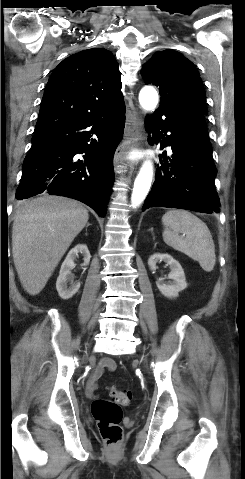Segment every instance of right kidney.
Masks as SVG:
<instances>
[{
    "instance_id": "1",
    "label": "right kidney",
    "mask_w": 245,
    "mask_h": 479,
    "mask_svg": "<svg viewBox=\"0 0 245 479\" xmlns=\"http://www.w3.org/2000/svg\"><path fill=\"white\" fill-rule=\"evenodd\" d=\"M79 253L83 255L84 263L82 266H87L90 262L91 255L85 244H78L72 248L61 265L56 281V289L59 296L64 300L71 298L80 288V282H73L74 276L71 273V270L75 267L74 260L78 257ZM68 282L71 284L70 287L67 286Z\"/></svg>"
}]
</instances>
